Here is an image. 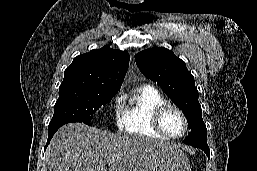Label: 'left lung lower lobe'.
Here are the masks:
<instances>
[{"mask_svg": "<svg viewBox=\"0 0 257 171\" xmlns=\"http://www.w3.org/2000/svg\"><path fill=\"white\" fill-rule=\"evenodd\" d=\"M194 147L202 149L206 153L208 159L210 158V150H209L208 144L206 145L197 144Z\"/></svg>", "mask_w": 257, "mask_h": 171, "instance_id": "left-lung-lower-lobe-1", "label": "left lung lower lobe"}]
</instances>
